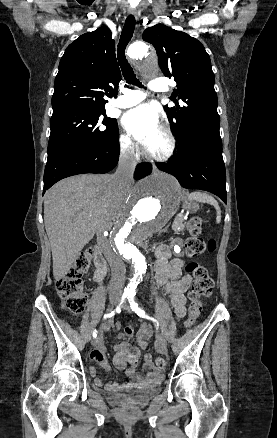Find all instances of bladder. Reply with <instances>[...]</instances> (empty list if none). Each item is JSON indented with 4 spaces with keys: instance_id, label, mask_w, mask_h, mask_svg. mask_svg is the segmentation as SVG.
<instances>
[{
    "instance_id": "31cf9c89",
    "label": "bladder",
    "mask_w": 277,
    "mask_h": 438,
    "mask_svg": "<svg viewBox=\"0 0 277 438\" xmlns=\"http://www.w3.org/2000/svg\"><path fill=\"white\" fill-rule=\"evenodd\" d=\"M160 384L161 379L156 382L151 381L147 384L146 387L141 389L127 392H118L115 395V403L117 405L141 406L155 394Z\"/></svg>"
}]
</instances>
